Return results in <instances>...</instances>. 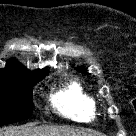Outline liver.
Instances as JSON below:
<instances>
[{
    "mask_svg": "<svg viewBox=\"0 0 136 136\" xmlns=\"http://www.w3.org/2000/svg\"><path fill=\"white\" fill-rule=\"evenodd\" d=\"M0 136H91L84 131L65 126L24 127L21 129L8 128L0 132Z\"/></svg>",
    "mask_w": 136,
    "mask_h": 136,
    "instance_id": "1",
    "label": "liver"
}]
</instances>
